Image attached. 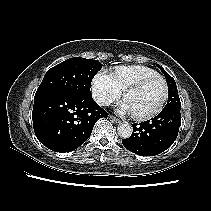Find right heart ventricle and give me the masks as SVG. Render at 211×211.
I'll return each instance as SVG.
<instances>
[{"label": "right heart ventricle", "instance_id": "1", "mask_svg": "<svg viewBox=\"0 0 211 211\" xmlns=\"http://www.w3.org/2000/svg\"><path fill=\"white\" fill-rule=\"evenodd\" d=\"M112 75L121 90L124 91L127 87L143 78L159 76L160 74L144 65H122L115 67Z\"/></svg>", "mask_w": 211, "mask_h": 211}]
</instances>
